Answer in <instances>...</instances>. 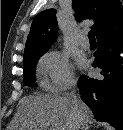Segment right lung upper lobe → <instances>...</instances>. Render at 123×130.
<instances>
[{
    "label": "right lung upper lobe",
    "instance_id": "obj_1",
    "mask_svg": "<svg viewBox=\"0 0 123 130\" xmlns=\"http://www.w3.org/2000/svg\"><path fill=\"white\" fill-rule=\"evenodd\" d=\"M72 7L79 19H95L96 36L123 22V6L119 0H73ZM55 9H46L33 20L24 57L45 53L57 38Z\"/></svg>",
    "mask_w": 123,
    "mask_h": 130
}]
</instances>
